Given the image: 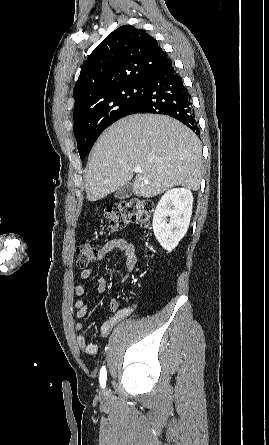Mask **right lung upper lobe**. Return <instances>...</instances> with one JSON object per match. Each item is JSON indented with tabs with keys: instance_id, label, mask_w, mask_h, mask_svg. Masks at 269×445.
I'll list each match as a JSON object with an SVG mask.
<instances>
[{
	"instance_id": "cb5924a9",
	"label": "right lung upper lobe",
	"mask_w": 269,
	"mask_h": 445,
	"mask_svg": "<svg viewBox=\"0 0 269 445\" xmlns=\"http://www.w3.org/2000/svg\"><path fill=\"white\" fill-rule=\"evenodd\" d=\"M157 41L142 29L123 25L110 33L81 67L74 88L75 109L122 86L144 84L169 62Z\"/></svg>"
}]
</instances>
